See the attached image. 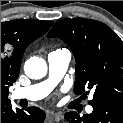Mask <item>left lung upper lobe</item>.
Here are the masks:
<instances>
[{
	"label": "left lung upper lobe",
	"instance_id": "left-lung-upper-lobe-1",
	"mask_svg": "<svg viewBox=\"0 0 123 123\" xmlns=\"http://www.w3.org/2000/svg\"><path fill=\"white\" fill-rule=\"evenodd\" d=\"M48 37L67 43L75 56L74 93L94 96L89 104L105 101L123 104V41L102 22L83 18L55 23Z\"/></svg>",
	"mask_w": 123,
	"mask_h": 123
}]
</instances>
